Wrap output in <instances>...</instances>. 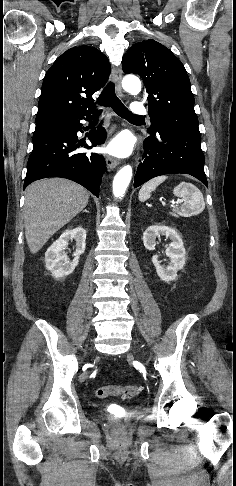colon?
Returning a JSON list of instances; mask_svg holds the SVG:
<instances>
[{
	"instance_id": "obj_1",
	"label": "colon",
	"mask_w": 236,
	"mask_h": 486,
	"mask_svg": "<svg viewBox=\"0 0 236 486\" xmlns=\"http://www.w3.org/2000/svg\"><path fill=\"white\" fill-rule=\"evenodd\" d=\"M142 391L140 385H126V386H115L107 385L102 386L96 390V396L100 399L108 398L111 396L121 397V398H132L139 395Z\"/></svg>"
}]
</instances>
